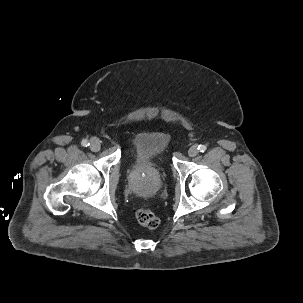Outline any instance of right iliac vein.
Here are the masks:
<instances>
[{
	"label": "right iliac vein",
	"instance_id": "63e3f726",
	"mask_svg": "<svg viewBox=\"0 0 303 303\" xmlns=\"http://www.w3.org/2000/svg\"><path fill=\"white\" fill-rule=\"evenodd\" d=\"M100 148H101V144H100L99 139H97V138L91 139V141H90V149L92 151L97 152V151L100 150Z\"/></svg>",
	"mask_w": 303,
	"mask_h": 303
}]
</instances>
